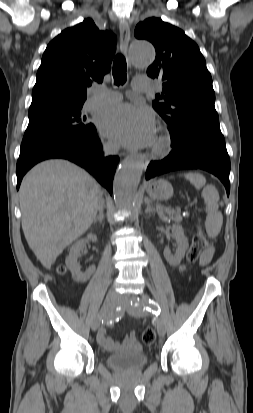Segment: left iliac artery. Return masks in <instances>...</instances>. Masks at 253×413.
<instances>
[{"instance_id": "44dca946", "label": "left iliac artery", "mask_w": 253, "mask_h": 413, "mask_svg": "<svg viewBox=\"0 0 253 413\" xmlns=\"http://www.w3.org/2000/svg\"><path fill=\"white\" fill-rule=\"evenodd\" d=\"M131 305L143 307L156 315H159L161 312L158 303L152 300L148 295H144L142 298H137L136 300H131Z\"/></svg>"}]
</instances>
